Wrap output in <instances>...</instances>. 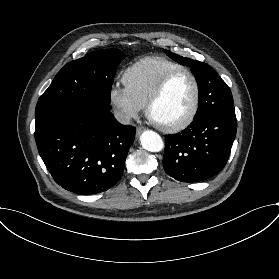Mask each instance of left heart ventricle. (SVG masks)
<instances>
[{"instance_id": "1", "label": "left heart ventricle", "mask_w": 279, "mask_h": 279, "mask_svg": "<svg viewBox=\"0 0 279 279\" xmlns=\"http://www.w3.org/2000/svg\"><path fill=\"white\" fill-rule=\"evenodd\" d=\"M195 88L187 74L175 78L152 110L153 117L162 123H175L190 110L194 100Z\"/></svg>"}]
</instances>
